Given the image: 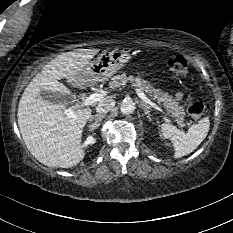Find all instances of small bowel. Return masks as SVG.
<instances>
[{"label": "small bowel", "mask_w": 233, "mask_h": 233, "mask_svg": "<svg viewBox=\"0 0 233 233\" xmlns=\"http://www.w3.org/2000/svg\"><path fill=\"white\" fill-rule=\"evenodd\" d=\"M183 96H184V94H183L182 92H178V93L176 94V99H177L178 101H180V100L183 99Z\"/></svg>", "instance_id": "c3829d8e"}]
</instances>
